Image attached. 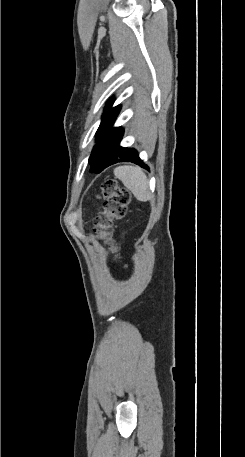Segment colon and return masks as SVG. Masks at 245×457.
<instances>
[{"instance_id": "obj_1", "label": "colon", "mask_w": 245, "mask_h": 457, "mask_svg": "<svg viewBox=\"0 0 245 457\" xmlns=\"http://www.w3.org/2000/svg\"><path fill=\"white\" fill-rule=\"evenodd\" d=\"M101 196L104 203L102 212L96 218V232L103 243L116 250L112 238L113 222L125 217L130 194L115 179L110 178L102 183Z\"/></svg>"}]
</instances>
